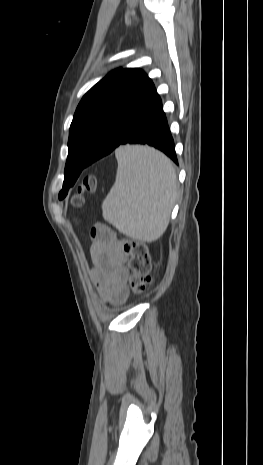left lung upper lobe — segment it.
Masks as SVG:
<instances>
[{
  "label": "left lung upper lobe",
  "instance_id": "left-lung-upper-lobe-1",
  "mask_svg": "<svg viewBox=\"0 0 263 465\" xmlns=\"http://www.w3.org/2000/svg\"><path fill=\"white\" fill-rule=\"evenodd\" d=\"M147 78L138 68H119L108 73L82 98L69 131L67 160H71L72 167L65 175L59 199L67 195L104 131L115 115L136 97Z\"/></svg>",
  "mask_w": 263,
  "mask_h": 465
}]
</instances>
